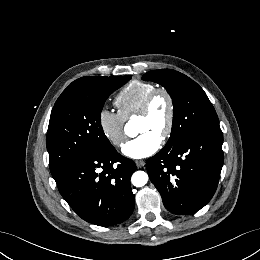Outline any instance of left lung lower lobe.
I'll return each instance as SVG.
<instances>
[{"instance_id":"1","label":"left lung lower lobe","mask_w":260,"mask_h":260,"mask_svg":"<svg viewBox=\"0 0 260 260\" xmlns=\"http://www.w3.org/2000/svg\"><path fill=\"white\" fill-rule=\"evenodd\" d=\"M222 143L221 129L205 130L165 145L147 160L149 178L168 211L192 214L210 201L223 165Z\"/></svg>"}]
</instances>
